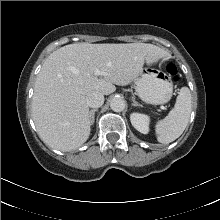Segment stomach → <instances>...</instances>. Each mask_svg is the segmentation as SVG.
<instances>
[{
  "instance_id": "obj_1",
  "label": "stomach",
  "mask_w": 220,
  "mask_h": 220,
  "mask_svg": "<svg viewBox=\"0 0 220 220\" xmlns=\"http://www.w3.org/2000/svg\"><path fill=\"white\" fill-rule=\"evenodd\" d=\"M138 96L146 103L153 105L166 104L173 93V84L165 72L146 68L134 79Z\"/></svg>"
}]
</instances>
